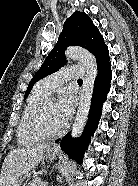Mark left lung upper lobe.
Returning <instances> with one entry per match:
<instances>
[{"mask_svg":"<svg viewBox=\"0 0 138 186\" xmlns=\"http://www.w3.org/2000/svg\"><path fill=\"white\" fill-rule=\"evenodd\" d=\"M72 45L84 47L92 52L96 57L98 68L110 60L108 48L97 27L86 13L76 11L65 21L55 47L31 79L24 99L38 80L58 71L65 64V49Z\"/></svg>","mask_w":138,"mask_h":186,"instance_id":"obj_1","label":"left lung upper lobe"}]
</instances>
